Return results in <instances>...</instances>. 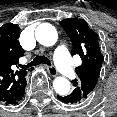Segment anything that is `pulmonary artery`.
<instances>
[{"instance_id":"e3ab8cb5","label":"pulmonary artery","mask_w":117,"mask_h":117,"mask_svg":"<svg viewBox=\"0 0 117 117\" xmlns=\"http://www.w3.org/2000/svg\"><path fill=\"white\" fill-rule=\"evenodd\" d=\"M55 61L60 71L68 78L75 75V71L70 63L67 46L59 43L55 51Z\"/></svg>"}]
</instances>
